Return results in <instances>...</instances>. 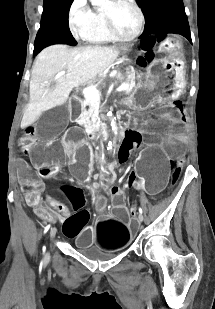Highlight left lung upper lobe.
<instances>
[{
    "instance_id": "obj_1",
    "label": "left lung upper lobe",
    "mask_w": 215,
    "mask_h": 309,
    "mask_svg": "<svg viewBox=\"0 0 215 309\" xmlns=\"http://www.w3.org/2000/svg\"><path fill=\"white\" fill-rule=\"evenodd\" d=\"M146 24L140 38L158 33H176L191 41L183 0H137Z\"/></svg>"
}]
</instances>
